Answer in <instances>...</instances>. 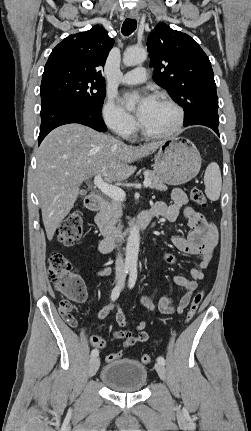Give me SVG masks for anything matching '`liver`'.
I'll return each mask as SVG.
<instances>
[{
  "mask_svg": "<svg viewBox=\"0 0 251 431\" xmlns=\"http://www.w3.org/2000/svg\"><path fill=\"white\" fill-rule=\"evenodd\" d=\"M161 144L129 146L77 123L51 131L37 150L35 172L48 240L73 208L83 181L96 175L108 181L126 180L135 171L129 163L150 155Z\"/></svg>",
  "mask_w": 251,
  "mask_h": 431,
  "instance_id": "6515ba94",
  "label": "liver"
}]
</instances>
